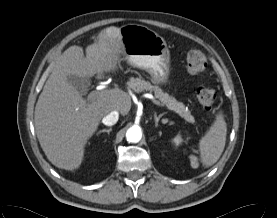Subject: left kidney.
I'll return each instance as SVG.
<instances>
[{"instance_id":"5707ae66","label":"left kidney","mask_w":277,"mask_h":218,"mask_svg":"<svg viewBox=\"0 0 277 218\" xmlns=\"http://www.w3.org/2000/svg\"><path fill=\"white\" fill-rule=\"evenodd\" d=\"M183 139L181 138L180 135L176 136L174 139H173V143L175 144V146H179L181 143H182Z\"/></svg>"}]
</instances>
